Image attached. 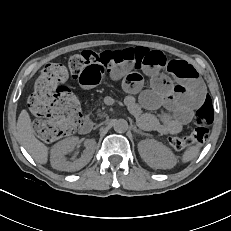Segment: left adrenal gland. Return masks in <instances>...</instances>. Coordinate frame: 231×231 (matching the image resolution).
<instances>
[{"label": "left adrenal gland", "instance_id": "left-adrenal-gland-1", "mask_svg": "<svg viewBox=\"0 0 231 231\" xmlns=\"http://www.w3.org/2000/svg\"><path fill=\"white\" fill-rule=\"evenodd\" d=\"M134 132L139 133V134H141V135H146V136H148L147 133L142 132L141 130L137 129L136 127H134Z\"/></svg>", "mask_w": 231, "mask_h": 231}]
</instances>
